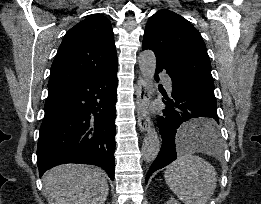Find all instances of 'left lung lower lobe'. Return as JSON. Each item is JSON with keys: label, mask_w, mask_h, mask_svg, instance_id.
Returning a JSON list of instances; mask_svg holds the SVG:
<instances>
[{"label": "left lung lower lobe", "mask_w": 261, "mask_h": 204, "mask_svg": "<svg viewBox=\"0 0 261 204\" xmlns=\"http://www.w3.org/2000/svg\"><path fill=\"white\" fill-rule=\"evenodd\" d=\"M164 70L156 65L155 79L159 81L158 73ZM172 80V94L162 93L165 109L158 120L162 136L161 150L149 168V176L156 170L165 167L177 157L180 145H191L198 140L216 141L219 138L217 106L214 91L188 79H176L167 72ZM204 119L190 133H182V123L199 118ZM181 126V127H180ZM180 127V128H179ZM179 128V129H178Z\"/></svg>", "instance_id": "obj_1"}]
</instances>
